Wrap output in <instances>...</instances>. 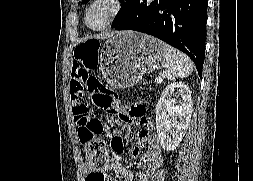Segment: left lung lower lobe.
I'll return each mask as SVG.
<instances>
[{
    "label": "left lung lower lobe",
    "instance_id": "obj_1",
    "mask_svg": "<svg viewBox=\"0 0 253 181\" xmlns=\"http://www.w3.org/2000/svg\"><path fill=\"white\" fill-rule=\"evenodd\" d=\"M207 0H136L113 28L155 36L186 53L202 76Z\"/></svg>",
    "mask_w": 253,
    "mask_h": 181
}]
</instances>
